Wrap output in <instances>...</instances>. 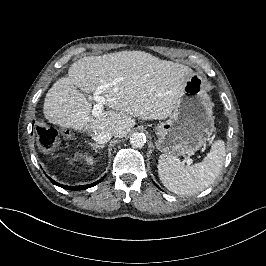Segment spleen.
I'll use <instances>...</instances> for the list:
<instances>
[{
    "label": "spleen",
    "instance_id": "spleen-1",
    "mask_svg": "<svg viewBox=\"0 0 266 266\" xmlns=\"http://www.w3.org/2000/svg\"><path fill=\"white\" fill-rule=\"evenodd\" d=\"M226 156L223 140L215 141L202 162L184 165L174 156L162 154L158 174L163 185L177 195H195L204 191L220 175Z\"/></svg>",
    "mask_w": 266,
    "mask_h": 266
}]
</instances>
